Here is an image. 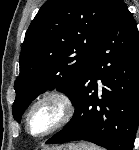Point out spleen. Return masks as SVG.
<instances>
[{"label": "spleen", "mask_w": 139, "mask_h": 150, "mask_svg": "<svg viewBox=\"0 0 139 150\" xmlns=\"http://www.w3.org/2000/svg\"><path fill=\"white\" fill-rule=\"evenodd\" d=\"M82 150H102L100 147L92 145V144H80Z\"/></svg>", "instance_id": "1"}]
</instances>
